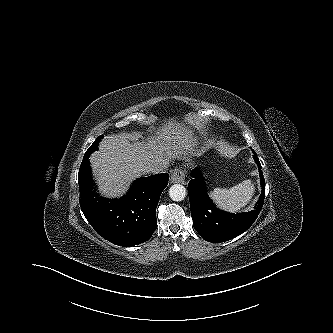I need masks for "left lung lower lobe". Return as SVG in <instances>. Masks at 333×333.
I'll list each match as a JSON object with an SVG mask.
<instances>
[{
    "label": "left lung lower lobe",
    "instance_id": "0a47b994",
    "mask_svg": "<svg viewBox=\"0 0 333 333\" xmlns=\"http://www.w3.org/2000/svg\"><path fill=\"white\" fill-rule=\"evenodd\" d=\"M254 160L259 168L262 192L254 209L246 213L232 214L215 208L209 198L200 170L194 169L188 184L193 226L208 242H224L245 232L257 219L265 198V180L258 157Z\"/></svg>",
    "mask_w": 333,
    "mask_h": 333
}]
</instances>
